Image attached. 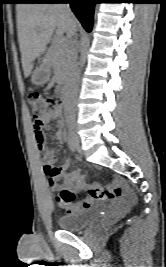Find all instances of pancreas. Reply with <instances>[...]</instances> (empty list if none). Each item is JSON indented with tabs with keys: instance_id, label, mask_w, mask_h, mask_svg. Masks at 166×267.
Returning <instances> with one entry per match:
<instances>
[{
	"instance_id": "obj_1",
	"label": "pancreas",
	"mask_w": 166,
	"mask_h": 267,
	"mask_svg": "<svg viewBox=\"0 0 166 267\" xmlns=\"http://www.w3.org/2000/svg\"><path fill=\"white\" fill-rule=\"evenodd\" d=\"M69 46L64 42H54L47 52L49 64L53 68L54 78L62 81L69 70L68 64Z\"/></svg>"
}]
</instances>
